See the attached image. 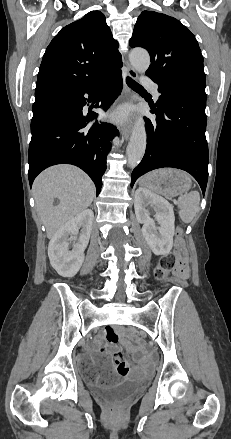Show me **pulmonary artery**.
I'll return each mask as SVG.
<instances>
[{"label": "pulmonary artery", "mask_w": 231, "mask_h": 439, "mask_svg": "<svg viewBox=\"0 0 231 439\" xmlns=\"http://www.w3.org/2000/svg\"><path fill=\"white\" fill-rule=\"evenodd\" d=\"M143 83L152 89L155 99H158L159 98L158 85L149 78H144Z\"/></svg>", "instance_id": "1"}]
</instances>
